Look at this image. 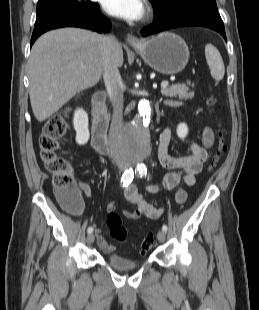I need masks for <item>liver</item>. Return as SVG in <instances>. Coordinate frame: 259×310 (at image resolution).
I'll list each match as a JSON object with an SVG mask.
<instances>
[{"instance_id":"obj_1","label":"liver","mask_w":259,"mask_h":310,"mask_svg":"<svg viewBox=\"0 0 259 310\" xmlns=\"http://www.w3.org/2000/svg\"><path fill=\"white\" fill-rule=\"evenodd\" d=\"M104 37L78 28L42 35L33 45L29 63V95L34 116L43 122L80 91L95 86L102 76ZM115 62L123 65L118 44Z\"/></svg>"}]
</instances>
